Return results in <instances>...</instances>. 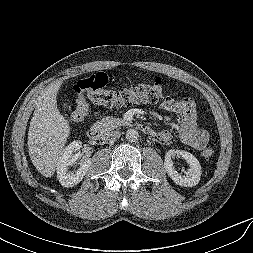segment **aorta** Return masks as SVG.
<instances>
[{"label":"aorta","mask_w":253,"mask_h":253,"mask_svg":"<svg viewBox=\"0 0 253 253\" xmlns=\"http://www.w3.org/2000/svg\"><path fill=\"white\" fill-rule=\"evenodd\" d=\"M138 138H139V133L137 130L130 128L126 131V139L128 141L135 142L138 140Z\"/></svg>","instance_id":"obj_1"}]
</instances>
